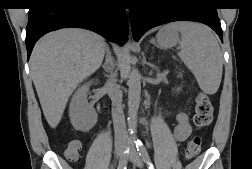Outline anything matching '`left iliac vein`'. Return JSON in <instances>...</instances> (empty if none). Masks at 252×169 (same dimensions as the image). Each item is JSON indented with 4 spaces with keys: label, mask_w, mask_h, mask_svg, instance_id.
I'll return each mask as SVG.
<instances>
[{
    "label": "left iliac vein",
    "mask_w": 252,
    "mask_h": 169,
    "mask_svg": "<svg viewBox=\"0 0 252 169\" xmlns=\"http://www.w3.org/2000/svg\"><path fill=\"white\" fill-rule=\"evenodd\" d=\"M127 160L131 161L134 165H136L139 168L143 167V161L135 148H132L130 154L127 156Z\"/></svg>",
    "instance_id": "1"
}]
</instances>
